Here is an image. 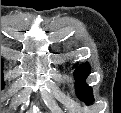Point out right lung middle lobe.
Wrapping results in <instances>:
<instances>
[{
  "label": "right lung middle lobe",
  "mask_w": 121,
  "mask_h": 113,
  "mask_svg": "<svg viewBox=\"0 0 121 113\" xmlns=\"http://www.w3.org/2000/svg\"><path fill=\"white\" fill-rule=\"evenodd\" d=\"M3 86H4V83H3V80H2V68H1V89H3Z\"/></svg>",
  "instance_id": "dd1d6c3e"
}]
</instances>
